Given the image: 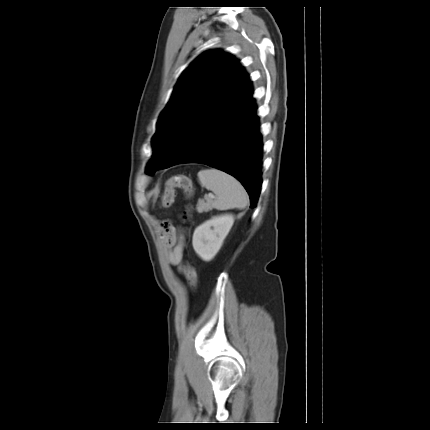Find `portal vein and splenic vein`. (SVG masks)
Returning a JSON list of instances; mask_svg holds the SVG:
<instances>
[{
  "label": "portal vein and splenic vein",
  "instance_id": "18ae733b",
  "mask_svg": "<svg viewBox=\"0 0 430 430\" xmlns=\"http://www.w3.org/2000/svg\"><path fill=\"white\" fill-rule=\"evenodd\" d=\"M208 197H214V195L212 193H209Z\"/></svg>",
  "mask_w": 430,
  "mask_h": 430
}]
</instances>
